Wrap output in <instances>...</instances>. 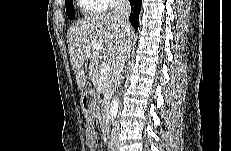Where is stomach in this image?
Returning <instances> with one entry per match:
<instances>
[{"mask_svg": "<svg viewBox=\"0 0 231 151\" xmlns=\"http://www.w3.org/2000/svg\"><path fill=\"white\" fill-rule=\"evenodd\" d=\"M97 93L94 89H87L82 93L80 103L83 111L90 112L94 109L96 104Z\"/></svg>", "mask_w": 231, "mask_h": 151, "instance_id": "obj_1", "label": "stomach"}]
</instances>
